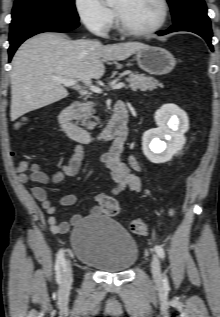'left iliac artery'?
Wrapping results in <instances>:
<instances>
[{
	"label": "left iliac artery",
	"instance_id": "44dca946",
	"mask_svg": "<svg viewBox=\"0 0 220 317\" xmlns=\"http://www.w3.org/2000/svg\"><path fill=\"white\" fill-rule=\"evenodd\" d=\"M155 251H156L157 255H158L161 259H164V258H165V251H164V249L162 248V246L156 245V246H155Z\"/></svg>",
	"mask_w": 220,
	"mask_h": 317
}]
</instances>
